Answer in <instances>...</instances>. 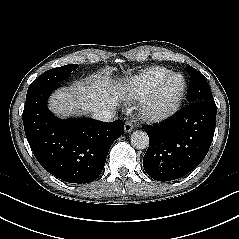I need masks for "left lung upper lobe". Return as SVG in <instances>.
<instances>
[{
    "label": "left lung upper lobe",
    "instance_id": "5c2ea615",
    "mask_svg": "<svg viewBox=\"0 0 239 239\" xmlns=\"http://www.w3.org/2000/svg\"><path fill=\"white\" fill-rule=\"evenodd\" d=\"M190 75L187 101L191 104L200 100H214L207 80L195 68L186 64Z\"/></svg>",
    "mask_w": 239,
    "mask_h": 239
}]
</instances>
